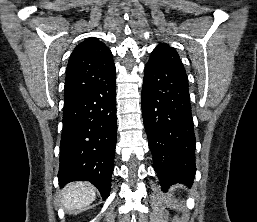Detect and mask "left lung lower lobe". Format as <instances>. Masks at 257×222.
<instances>
[{
	"mask_svg": "<svg viewBox=\"0 0 257 222\" xmlns=\"http://www.w3.org/2000/svg\"><path fill=\"white\" fill-rule=\"evenodd\" d=\"M142 114L162 190L195 177L196 139L188 77L157 61L145 66Z\"/></svg>",
	"mask_w": 257,
	"mask_h": 222,
	"instance_id": "0a47b994",
	"label": "left lung lower lobe"
}]
</instances>
